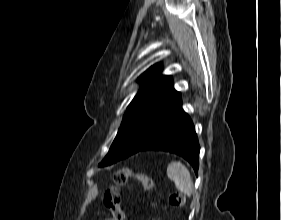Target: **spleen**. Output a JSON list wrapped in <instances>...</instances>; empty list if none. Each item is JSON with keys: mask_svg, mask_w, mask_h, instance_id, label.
I'll use <instances>...</instances> for the list:
<instances>
[{"mask_svg": "<svg viewBox=\"0 0 281 220\" xmlns=\"http://www.w3.org/2000/svg\"><path fill=\"white\" fill-rule=\"evenodd\" d=\"M167 176L174 183L176 188L184 195L191 196L194 191L192 177L185 165L179 161L169 163Z\"/></svg>", "mask_w": 281, "mask_h": 220, "instance_id": "obj_1", "label": "spleen"}]
</instances>
